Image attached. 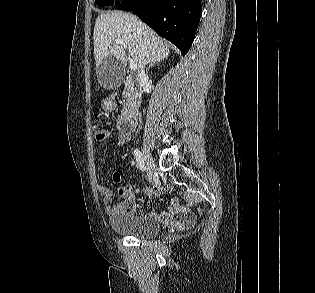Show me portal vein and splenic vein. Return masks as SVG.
<instances>
[{"instance_id":"portal-vein-and-splenic-vein-1","label":"portal vein and splenic vein","mask_w":315,"mask_h":293,"mask_svg":"<svg viewBox=\"0 0 315 293\" xmlns=\"http://www.w3.org/2000/svg\"><path fill=\"white\" fill-rule=\"evenodd\" d=\"M115 43L124 45L122 41H116ZM124 47H125V45H124ZM129 66H130L131 70L135 71L137 69V63L133 59L130 60Z\"/></svg>"}]
</instances>
